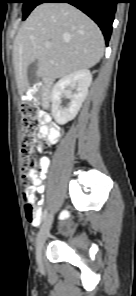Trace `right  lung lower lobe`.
Wrapping results in <instances>:
<instances>
[{"label": "right lung lower lobe", "instance_id": "right-lung-lower-lobe-1", "mask_svg": "<svg viewBox=\"0 0 136 296\" xmlns=\"http://www.w3.org/2000/svg\"><path fill=\"white\" fill-rule=\"evenodd\" d=\"M118 2L119 0H42L41 3H69L77 7L98 24L108 44Z\"/></svg>", "mask_w": 136, "mask_h": 296}]
</instances>
